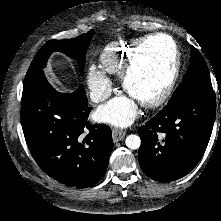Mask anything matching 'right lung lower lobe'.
I'll use <instances>...</instances> for the list:
<instances>
[{
  "instance_id": "obj_1",
  "label": "right lung lower lobe",
  "mask_w": 221,
  "mask_h": 221,
  "mask_svg": "<svg viewBox=\"0 0 221 221\" xmlns=\"http://www.w3.org/2000/svg\"><path fill=\"white\" fill-rule=\"evenodd\" d=\"M90 111L82 85L59 93L40 74L23 87L21 124L29 150L48 176L67 186H92L108 166L111 129L90 124Z\"/></svg>"
}]
</instances>
